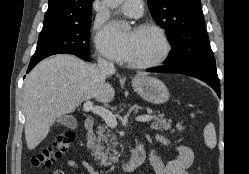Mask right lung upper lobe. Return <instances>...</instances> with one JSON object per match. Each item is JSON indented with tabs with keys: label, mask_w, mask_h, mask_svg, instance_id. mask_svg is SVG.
Returning a JSON list of instances; mask_svg holds the SVG:
<instances>
[{
	"label": "right lung upper lobe",
	"mask_w": 249,
	"mask_h": 174,
	"mask_svg": "<svg viewBox=\"0 0 249 174\" xmlns=\"http://www.w3.org/2000/svg\"><path fill=\"white\" fill-rule=\"evenodd\" d=\"M94 0H48L43 28L47 29L69 23H79L92 17Z\"/></svg>",
	"instance_id": "cb5924a9"
}]
</instances>
